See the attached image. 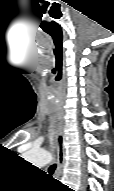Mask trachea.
Returning a JSON list of instances; mask_svg holds the SVG:
<instances>
[{
	"mask_svg": "<svg viewBox=\"0 0 114 191\" xmlns=\"http://www.w3.org/2000/svg\"><path fill=\"white\" fill-rule=\"evenodd\" d=\"M55 169H56V164L51 165V166L49 167V173H50V174H53V172L55 171Z\"/></svg>",
	"mask_w": 114,
	"mask_h": 191,
	"instance_id": "1",
	"label": "trachea"
}]
</instances>
